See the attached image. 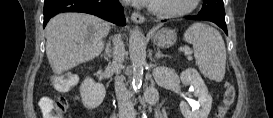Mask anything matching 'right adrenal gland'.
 <instances>
[{"label":"right adrenal gland","mask_w":273,"mask_h":118,"mask_svg":"<svg viewBox=\"0 0 273 118\" xmlns=\"http://www.w3.org/2000/svg\"><path fill=\"white\" fill-rule=\"evenodd\" d=\"M111 44L110 43H107L106 44V48H105V50H104V53H103V57L106 59V60H108V59H110L111 58Z\"/></svg>","instance_id":"obj_1"}]
</instances>
